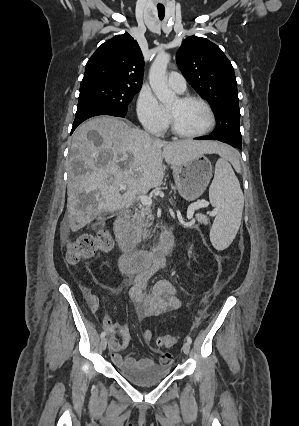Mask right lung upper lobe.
Instances as JSON below:
<instances>
[{
    "mask_svg": "<svg viewBox=\"0 0 299 426\" xmlns=\"http://www.w3.org/2000/svg\"><path fill=\"white\" fill-rule=\"evenodd\" d=\"M144 60L130 34L116 35L103 43L86 64L81 85L111 83L141 88Z\"/></svg>",
    "mask_w": 299,
    "mask_h": 426,
    "instance_id": "cb5924a9",
    "label": "right lung upper lobe"
}]
</instances>
